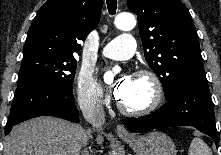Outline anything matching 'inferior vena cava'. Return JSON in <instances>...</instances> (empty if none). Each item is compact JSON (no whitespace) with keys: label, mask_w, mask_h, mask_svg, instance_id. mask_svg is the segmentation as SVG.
<instances>
[{"label":"inferior vena cava","mask_w":221,"mask_h":155,"mask_svg":"<svg viewBox=\"0 0 221 155\" xmlns=\"http://www.w3.org/2000/svg\"><path fill=\"white\" fill-rule=\"evenodd\" d=\"M79 107L85 120L94 128L100 129L105 123V112L97 95H86L79 98ZM87 133L88 137H90L91 131L88 130Z\"/></svg>","instance_id":"obj_1"}]
</instances>
